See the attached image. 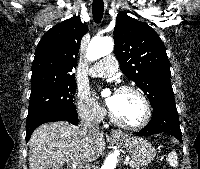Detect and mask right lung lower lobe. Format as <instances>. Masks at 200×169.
<instances>
[{"label":"right lung lower lobe","instance_id":"right-lung-lower-lobe-1","mask_svg":"<svg viewBox=\"0 0 200 169\" xmlns=\"http://www.w3.org/2000/svg\"><path fill=\"white\" fill-rule=\"evenodd\" d=\"M61 120H66L72 124H77L78 117L76 110L69 112L40 111L28 114L26 121V142L30 139L33 131L41 124Z\"/></svg>","mask_w":200,"mask_h":169}]
</instances>
